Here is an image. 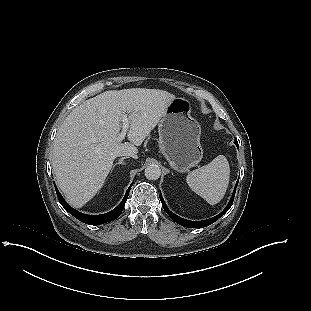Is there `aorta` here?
Returning a JSON list of instances; mask_svg holds the SVG:
<instances>
[{"label": "aorta", "instance_id": "aorta-1", "mask_svg": "<svg viewBox=\"0 0 311 311\" xmlns=\"http://www.w3.org/2000/svg\"><path fill=\"white\" fill-rule=\"evenodd\" d=\"M145 177L148 180H157L161 175V169L158 165H149L145 168Z\"/></svg>", "mask_w": 311, "mask_h": 311}]
</instances>
